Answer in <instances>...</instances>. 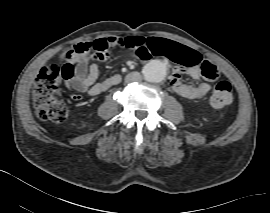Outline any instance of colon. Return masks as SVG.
Wrapping results in <instances>:
<instances>
[{
  "label": "colon",
  "instance_id": "obj_1",
  "mask_svg": "<svg viewBox=\"0 0 270 213\" xmlns=\"http://www.w3.org/2000/svg\"><path fill=\"white\" fill-rule=\"evenodd\" d=\"M119 43L132 50L138 58L147 47L146 40L138 36L122 38ZM79 52L80 50H70L66 53V57H75ZM201 72L203 77L208 80L213 81L217 78L216 67L209 61L202 62ZM73 75L74 69L68 62L62 65L44 66L38 71L33 85L32 99L40 119L60 123L68 117V108L64 103L59 84L62 80L72 78ZM232 100L230 83L218 82L211 96V105L215 108H222L230 105Z\"/></svg>",
  "mask_w": 270,
  "mask_h": 213
}]
</instances>
